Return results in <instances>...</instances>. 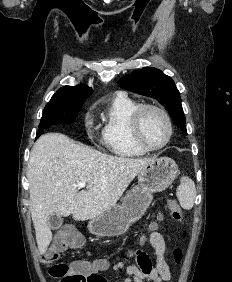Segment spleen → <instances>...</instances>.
I'll list each match as a JSON object with an SVG mask.
<instances>
[{
    "label": "spleen",
    "instance_id": "3e777b00",
    "mask_svg": "<svg viewBox=\"0 0 232 282\" xmlns=\"http://www.w3.org/2000/svg\"><path fill=\"white\" fill-rule=\"evenodd\" d=\"M196 197V187L194 182L188 177H182L177 189V198L183 209L190 210L194 205Z\"/></svg>",
    "mask_w": 232,
    "mask_h": 282
}]
</instances>
